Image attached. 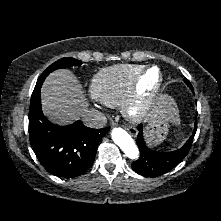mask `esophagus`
Segmentation results:
<instances>
[{
  "mask_svg": "<svg viewBox=\"0 0 221 221\" xmlns=\"http://www.w3.org/2000/svg\"><path fill=\"white\" fill-rule=\"evenodd\" d=\"M126 130L129 131V133L133 136V137H136L137 136V131L133 128H128V127H125Z\"/></svg>",
  "mask_w": 221,
  "mask_h": 221,
  "instance_id": "esophagus-1",
  "label": "esophagus"
}]
</instances>
